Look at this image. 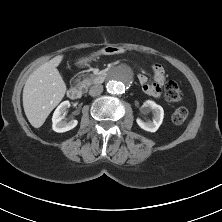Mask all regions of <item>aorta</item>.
Here are the masks:
<instances>
[{"label": "aorta", "instance_id": "obj_1", "mask_svg": "<svg viewBox=\"0 0 222 222\" xmlns=\"http://www.w3.org/2000/svg\"><path fill=\"white\" fill-rule=\"evenodd\" d=\"M131 82V74L125 69H118L108 79L106 88L111 94H122L130 86Z\"/></svg>", "mask_w": 222, "mask_h": 222}]
</instances>
